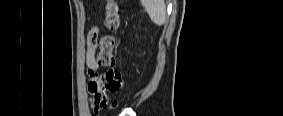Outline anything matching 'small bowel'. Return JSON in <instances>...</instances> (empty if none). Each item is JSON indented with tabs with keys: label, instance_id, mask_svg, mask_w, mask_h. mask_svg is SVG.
Listing matches in <instances>:
<instances>
[{
	"label": "small bowel",
	"instance_id": "small-bowel-1",
	"mask_svg": "<svg viewBox=\"0 0 283 116\" xmlns=\"http://www.w3.org/2000/svg\"><path fill=\"white\" fill-rule=\"evenodd\" d=\"M98 30L92 28L87 39V56L86 63L88 67L89 82L88 93L90 95V103L92 107L97 103H103L109 97L107 92L109 90V82L103 76L97 73L98 62L95 57L97 48Z\"/></svg>",
	"mask_w": 283,
	"mask_h": 116
}]
</instances>
